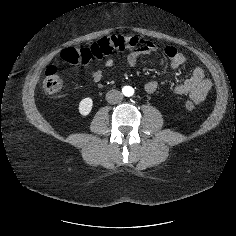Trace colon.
I'll return each instance as SVG.
<instances>
[{"label": "colon", "mask_w": 236, "mask_h": 236, "mask_svg": "<svg viewBox=\"0 0 236 236\" xmlns=\"http://www.w3.org/2000/svg\"><path fill=\"white\" fill-rule=\"evenodd\" d=\"M145 40L126 35H112L102 38L87 47H67L62 50L60 58L62 61L72 65H86L92 59L101 60L114 51L134 50L143 47ZM63 81L58 67L51 65L47 68L43 80V89L48 94H55L62 88ZM191 110L194 105L191 101L186 103Z\"/></svg>", "instance_id": "obj_1"}]
</instances>
